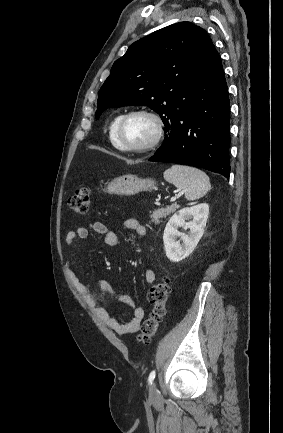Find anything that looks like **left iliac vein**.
Instances as JSON below:
<instances>
[{"label": "left iliac vein", "mask_w": 283, "mask_h": 433, "mask_svg": "<svg viewBox=\"0 0 283 433\" xmlns=\"http://www.w3.org/2000/svg\"><path fill=\"white\" fill-rule=\"evenodd\" d=\"M149 399L154 405L161 404V397L155 383H152L149 387Z\"/></svg>", "instance_id": "1"}]
</instances>
